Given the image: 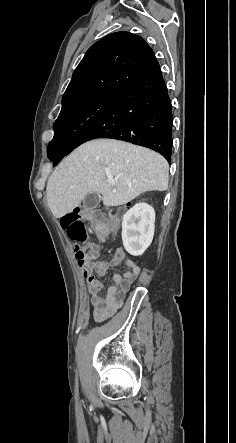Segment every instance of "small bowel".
Returning <instances> with one entry per match:
<instances>
[{"mask_svg":"<svg viewBox=\"0 0 236 443\" xmlns=\"http://www.w3.org/2000/svg\"><path fill=\"white\" fill-rule=\"evenodd\" d=\"M99 240L104 243L108 242V238L105 236H99ZM90 247L98 254L99 248L96 244H90ZM122 263L127 269L123 274L113 276V284L107 287L103 294L104 285L99 278L106 275L111 267L119 266ZM78 266L87 284L93 316L97 321L105 319L122 306L127 293L140 273V266L122 249H117L108 261L78 262Z\"/></svg>","mask_w":236,"mask_h":443,"instance_id":"small-bowel-1","label":"small bowel"}]
</instances>
